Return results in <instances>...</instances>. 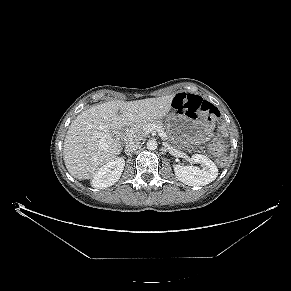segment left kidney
Instances as JSON below:
<instances>
[{
  "mask_svg": "<svg viewBox=\"0 0 291 291\" xmlns=\"http://www.w3.org/2000/svg\"><path fill=\"white\" fill-rule=\"evenodd\" d=\"M191 161L201 164L202 169L195 166L174 165V172L179 181L189 186H204L217 178V166L205 155L194 154Z\"/></svg>",
  "mask_w": 291,
  "mask_h": 291,
  "instance_id": "1",
  "label": "left kidney"
}]
</instances>
